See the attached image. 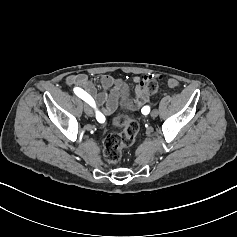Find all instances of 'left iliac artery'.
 <instances>
[{"instance_id": "44dca946", "label": "left iliac artery", "mask_w": 237, "mask_h": 237, "mask_svg": "<svg viewBox=\"0 0 237 237\" xmlns=\"http://www.w3.org/2000/svg\"><path fill=\"white\" fill-rule=\"evenodd\" d=\"M141 111L144 115H147L150 112V108L148 106H144Z\"/></svg>"}]
</instances>
